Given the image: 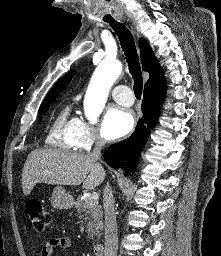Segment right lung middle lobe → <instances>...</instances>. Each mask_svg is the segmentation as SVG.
<instances>
[{
  "label": "right lung middle lobe",
  "mask_w": 221,
  "mask_h": 256,
  "mask_svg": "<svg viewBox=\"0 0 221 256\" xmlns=\"http://www.w3.org/2000/svg\"><path fill=\"white\" fill-rule=\"evenodd\" d=\"M56 97H57V95H53V96L45 99L44 102L41 104V106L39 108V113H40L39 118L40 119H41V114L45 113L48 110L50 104L56 99Z\"/></svg>",
  "instance_id": "1"
}]
</instances>
